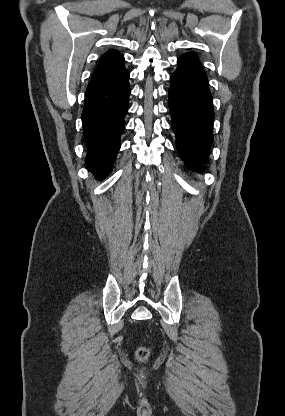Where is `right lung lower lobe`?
<instances>
[{
	"label": "right lung lower lobe",
	"mask_w": 285,
	"mask_h": 416,
	"mask_svg": "<svg viewBox=\"0 0 285 416\" xmlns=\"http://www.w3.org/2000/svg\"><path fill=\"white\" fill-rule=\"evenodd\" d=\"M129 73L103 86L86 90L82 112L87 143V168L97 177H106L120 148L124 116L130 95Z\"/></svg>",
	"instance_id": "right-lung-lower-lobe-1"
}]
</instances>
